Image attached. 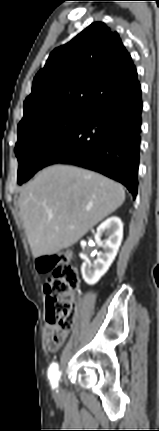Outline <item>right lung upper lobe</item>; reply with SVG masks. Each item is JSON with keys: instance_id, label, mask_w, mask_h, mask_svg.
I'll use <instances>...</instances> for the list:
<instances>
[{"instance_id": "1", "label": "right lung upper lobe", "mask_w": 159, "mask_h": 431, "mask_svg": "<svg viewBox=\"0 0 159 431\" xmlns=\"http://www.w3.org/2000/svg\"><path fill=\"white\" fill-rule=\"evenodd\" d=\"M137 83L136 68L118 33L93 23L51 52L24 101L18 129L55 113L89 114Z\"/></svg>"}]
</instances>
